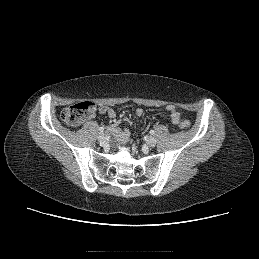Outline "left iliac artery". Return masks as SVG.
Here are the masks:
<instances>
[{
    "mask_svg": "<svg viewBox=\"0 0 259 259\" xmlns=\"http://www.w3.org/2000/svg\"><path fill=\"white\" fill-rule=\"evenodd\" d=\"M150 134H151V135H154V134H155V131H154V130H150Z\"/></svg>",
    "mask_w": 259,
    "mask_h": 259,
    "instance_id": "left-iliac-artery-1",
    "label": "left iliac artery"
}]
</instances>
